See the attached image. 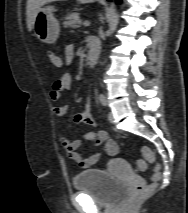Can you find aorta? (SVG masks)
Returning <instances> with one entry per match:
<instances>
[{"label":"aorta","mask_w":188,"mask_h":213,"mask_svg":"<svg viewBox=\"0 0 188 213\" xmlns=\"http://www.w3.org/2000/svg\"><path fill=\"white\" fill-rule=\"evenodd\" d=\"M113 6H114V5L111 6V12H113V10H114V9H113Z\"/></svg>","instance_id":"1"}]
</instances>
